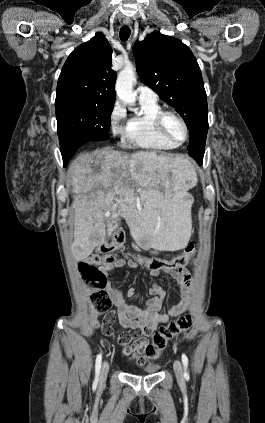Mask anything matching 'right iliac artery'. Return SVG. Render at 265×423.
<instances>
[{"label": "right iliac artery", "mask_w": 265, "mask_h": 423, "mask_svg": "<svg viewBox=\"0 0 265 423\" xmlns=\"http://www.w3.org/2000/svg\"><path fill=\"white\" fill-rule=\"evenodd\" d=\"M101 362H102V354L100 353L97 358H96V363H95V381H94V385L96 386L99 380V373H100V369H101Z\"/></svg>", "instance_id": "82829eb1"}]
</instances>
